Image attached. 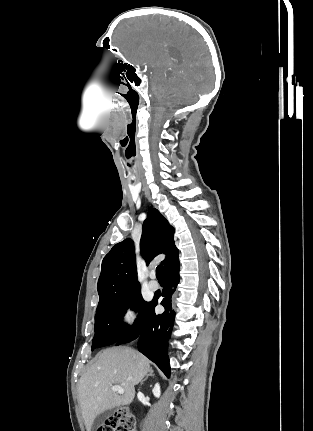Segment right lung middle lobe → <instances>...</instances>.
Wrapping results in <instances>:
<instances>
[{
    "label": "right lung middle lobe",
    "instance_id": "dd1d6c3e",
    "mask_svg": "<svg viewBox=\"0 0 313 431\" xmlns=\"http://www.w3.org/2000/svg\"><path fill=\"white\" fill-rule=\"evenodd\" d=\"M136 289L126 295L113 297L98 304L95 316V335L92 342V350L95 348L111 345L125 336L139 321L137 319L133 326L123 323V316L128 308L139 311V318L148 302H145Z\"/></svg>",
    "mask_w": 313,
    "mask_h": 431
}]
</instances>
